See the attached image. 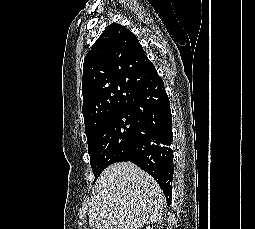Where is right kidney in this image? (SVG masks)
<instances>
[{
    "label": "right kidney",
    "instance_id": "1",
    "mask_svg": "<svg viewBox=\"0 0 255 229\" xmlns=\"http://www.w3.org/2000/svg\"><path fill=\"white\" fill-rule=\"evenodd\" d=\"M146 229H150V226L146 227Z\"/></svg>",
    "mask_w": 255,
    "mask_h": 229
}]
</instances>
